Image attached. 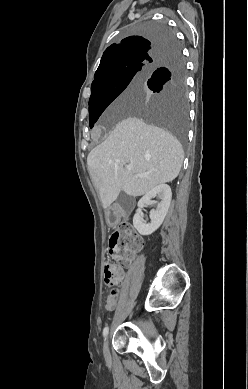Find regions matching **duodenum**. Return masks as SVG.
Returning <instances> with one entry per match:
<instances>
[{"label":"duodenum","mask_w":248,"mask_h":389,"mask_svg":"<svg viewBox=\"0 0 248 389\" xmlns=\"http://www.w3.org/2000/svg\"><path fill=\"white\" fill-rule=\"evenodd\" d=\"M118 215H119V210L118 209H115V210L111 211L108 214V221L110 223H115L117 218H118Z\"/></svg>","instance_id":"410a0bca"}]
</instances>
